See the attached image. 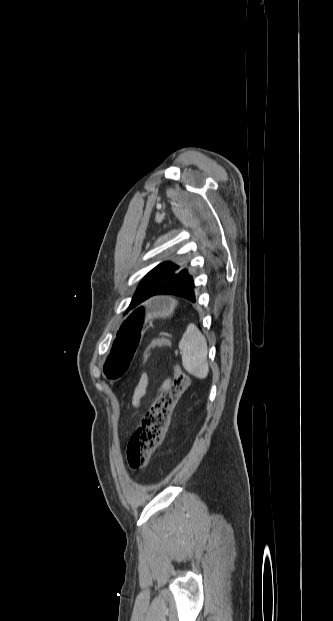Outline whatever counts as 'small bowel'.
Listing matches in <instances>:
<instances>
[{"label": "small bowel", "mask_w": 333, "mask_h": 621, "mask_svg": "<svg viewBox=\"0 0 333 621\" xmlns=\"http://www.w3.org/2000/svg\"><path fill=\"white\" fill-rule=\"evenodd\" d=\"M148 384H149V374L144 373L134 393V397H133L134 405L140 406L141 399L143 398V396L145 395L147 391ZM168 385H169V380H165L160 390H163Z\"/></svg>", "instance_id": "obj_1"}]
</instances>
